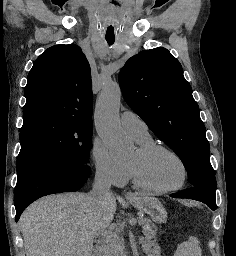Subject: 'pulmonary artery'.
I'll list each match as a JSON object with an SVG mask.
<instances>
[{"label": "pulmonary artery", "instance_id": "pulmonary-artery-1", "mask_svg": "<svg viewBox=\"0 0 236 256\" xmlns=\"http://www.w3.org/2000/svg\"><path fill=\"white\" fill-rule=\"evenodd\" d=\"M122 128L136 141L149 137L148 128L140 117L133 111H125L120 115Z\"/></svg>", "mask_w": 236, "mask_h": 256}]
</instances>
